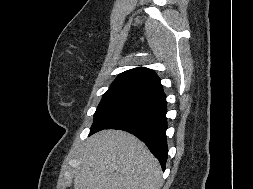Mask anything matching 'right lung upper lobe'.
<instances>
[{"label": "right lung upper lobe", "mask_w": 253, "mask_h": 189, "mask_svg": "<svg viewBox=\"0 0 253 189\" xmlns=\"http://www.w3.org/2000/svg\"><path fill=\"white\" fill-rule=\"evenodd\" d=\"M112 88H129L150 93L161 89L162 85L151 69L138 67L119 74L112 83L110 89Z\"/></svg>", "instance_id": "obj_1"}]
</instances>
